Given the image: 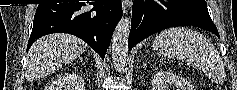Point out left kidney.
<instances>
[{
	"label": "left kidney",
	"instance_id": "1",
	"mask_svg": "<svg viewBox=\"0 0 237 90\" xmlns=\"http://www.w3.org/2000/svg\"><path fill=\"white\" fill-rule=\"evenodd\" d=\"M152 90H193V86L176 74L157 72L152 80Z\"/></svg>",
	"mask_w": 237,
	"mask_h": 90
}]
</instances>
